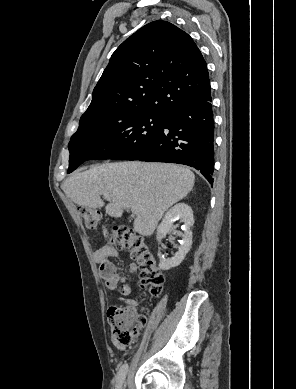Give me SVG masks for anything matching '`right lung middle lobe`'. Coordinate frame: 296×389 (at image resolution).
Wrapping results in <instances>:
<instances>
[{"mask_svg": "<svg viewBox=\"0 0 296 389\" xmlns=\"http://www.w3.org/2000/svg\"><path fill=\"white\" fill-rule=\"evenodd\" d=\"M166 115L132 108L107 110L80 119L69 142L68 173L92 159L135 160L162 128Z\"/></svg>", "mask_w": 296, "mask_h": 389, "instance_id": "1", "label": "right lung middle lobe"}]
</instances>
